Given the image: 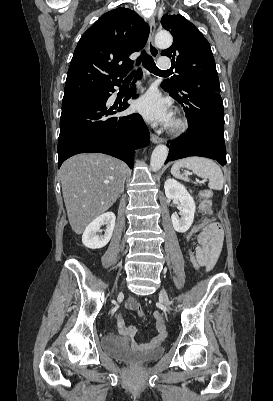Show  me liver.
I'll use <instances>...</instances> for the list:
<instances>
[{"instance_id":"1","label":"liver","mask_w":273,"mask_h":401,"mask_svg":"<svg viewBox=\"0 0 273 401\" xmlns=\"http://www.w3.org/2000/svg\"><path fill=\"white\" fill-rule=\"evenodd\" d=\"M126 164L108 154H75L63 162L60 178L72 231L81 235L124 190Z\"/></svg>"}]
</instances>
